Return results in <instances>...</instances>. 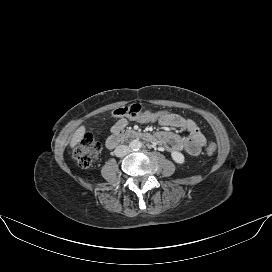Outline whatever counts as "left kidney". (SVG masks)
Listing matches in <instances>:
<instances>
[{"mask_svg": "<svg viewBox=\"0 0 272 272\" xmlns=\"http://www.w3.org/2000/svg\"><path fill=\"white\" fill-rule=\"evenodd\" d=\"M171 157L178 164H183L185 162L184 155L180 152L177 151L172 152Z\"/></svg>", "mask_w": 272, "mask_h": 272, "instance_id": "1", "label": "left kidney"}]
</instances>
